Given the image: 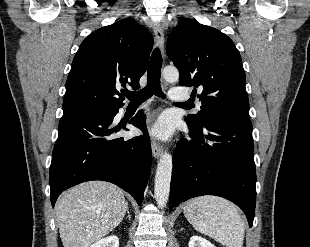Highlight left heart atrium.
<instances>
[{"mask_svg": "<svg viewBox=\"0 0 310 247\" xmlns=\"http://www.w3.org/2000/svg\"><path fill=\"white\" fill-rule=\"evenodd\" d=\"M173 127L174 125L171 116L168 114H162L150 129V133L158 139L167 140L173 133Z\"/></svg>", "mask_w": 310, "mask_h": 247, "instance_id": "1", "label": "left heart atrium"}]
</instances>
